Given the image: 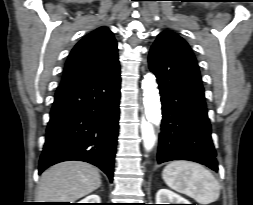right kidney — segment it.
<instances>
[{
  "mask_svg": "<svg viewBox=\"0 0 253 205\" xmlns=\"http://www.w3.org/2000/svg\"><path fill=\"white\" fill-rule=\"evenodd\" d=\"M78 203H101V199L98 195L92 194V195L85 197L84 199H82Z\"/></svg>",
  "mask_w": 253,
  "mask_h": 205,
  "instance_id": "obj_1",
  "label": "right kidney"
}]
</instances>
